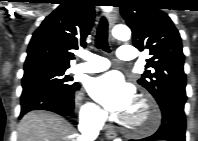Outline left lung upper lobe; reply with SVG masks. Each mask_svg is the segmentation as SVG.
Returning <instances> with one entry per match:
<instances>
[{
  "label": "left lung upper lobe",
  "instance_id": "1",
  "mask_svg": "<svg viewBox=\"0 0 198 141\" xmlns=\"http://www.w3.org/2000/svg\"><path fill=\"white\" fill-rule=\"evenodd\" d=\"M154 0H126L121 15L132 30L134 46L149 50L146 70L138 83L158 101L167 94H184L186 75L181 37L172 20Z\"/></svg>",
  "mask_w": 198,
  "mask_h": 141
}]
</instances>
